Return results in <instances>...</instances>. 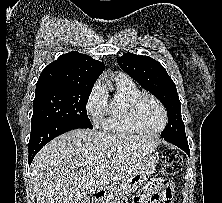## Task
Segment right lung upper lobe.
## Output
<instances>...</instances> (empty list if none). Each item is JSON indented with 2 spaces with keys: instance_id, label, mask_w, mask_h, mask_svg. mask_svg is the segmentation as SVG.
Masks as SVG:
<instances>
[{
  "instance_id": "right-lung-upper-lobe-1",
  "label": "right lung upper lobe",
  "mask_w": 222,
  "mask_h": 203,
  "mask_svg": "<svg viewBox=\"0 0 222 203\" xmlns=\"http://www.w3.org/2000/svg\"><path fill=\"white\" fill-rule=\"evenodd\" d=\"M105 65L76 51L61 55L42 71L36 91L55 86L93 88Z\"/></svg>"
}]
</instances>
